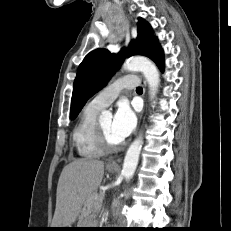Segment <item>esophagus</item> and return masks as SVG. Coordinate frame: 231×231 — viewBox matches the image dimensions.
<instances>
[{
    "instance_id": "34e87169",
    "label": "esophagus",
    "mask_w": 231,
    "mask_h": 231,
    "mask_svg": "<svg viewBox=\"0 0 231 231\" xmlns=\"http://www.w3.org/2000/svg\"><path fill=\"white\" fill-rule=\"evenodd\" d=\"M142 83H143V86H144V93H145V86H146V83H145L144 80L142 81ZM119 161H120V159H111V160H109V161L107 162V165H108V166H111V167H118V166H119Z\"/></svg>"
}]
</instances>
